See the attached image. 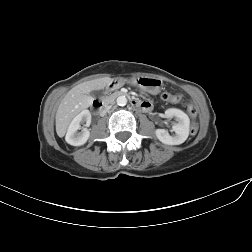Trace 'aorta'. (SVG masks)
Returning <instances> with one entry per match:
<instances>
[{"label":"aorta","mask_w":252,"mask_h":252,"mask_svg":"<svg viewBox=\"0 0 252 252\" xmlns=\"http://www.w3.org/2000/svg\"><path fill=\"white\" fill-rule=\"evenodd\" d=\"M117 105L125 106L127 104V98L125 96H119L116 100Z\"/></svg>","instance_id":"obj_1"}]
</instances>
